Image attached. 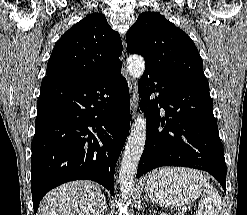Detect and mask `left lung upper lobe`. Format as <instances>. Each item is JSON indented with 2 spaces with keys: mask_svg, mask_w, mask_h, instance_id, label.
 <instances>
[{
  "mask_svg": "<svg viewBox=\"0 0 247 215\" xmlns=\"http://www.w3.org/2000/svg\"><path fill=\"white\" fill-rule=\"evenodd\" d=\"M127 51L142 55L146 70L209 89L194 42L160 13L139 15L127 32Z\"/></svg>",
  "mask_w": 247,
  "mask_h": 215,
  "instance_id": "left-lung-upper-lobe-1",
  "label": "left lung upper lobe"
}]
</instances>
